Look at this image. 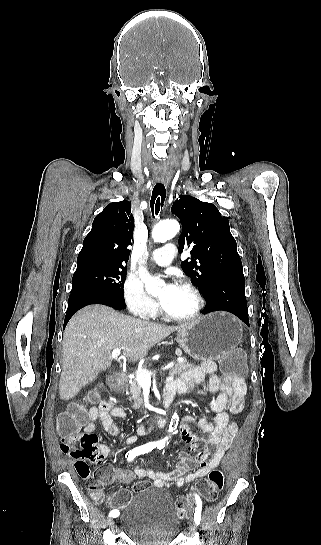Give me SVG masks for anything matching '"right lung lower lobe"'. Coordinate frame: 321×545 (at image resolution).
<instances>
[{"instance_id": "obj_1", "label": "right lung lower lobe", "mask_w": 321, "mask_h": 545, "mask_svg": "<svg viewBox=\"0 0 321 545\" xmlns=\"http://www.w3.org/2000/svg\"><path fill=\"white\" fill-rule=\"evenodd\" d=\"M90 304H103L110 306L114 309L126 308L124 298H118L106 293L96 291H77L70 294L64 326H66V324L75 312Z\"/></svg>"}]
</instances>
